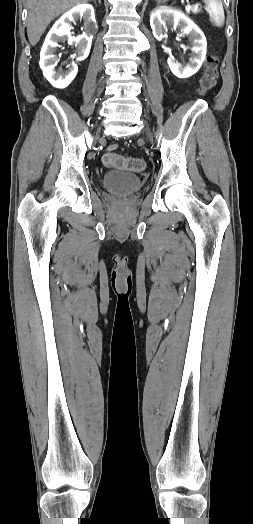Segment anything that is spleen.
<instances>
[{"instance_id": "3e777b00", "label": "spleen", "mask_w": 253, "mask_h": 524, "mask_svg": "<svg viewBox=\"0 0 253 524\" xmlns=\"http://www.w3.org/2000/svg\"><path fill=\"white\" fill-rule=\"evenodd\" d=\"M209 9L210 20L217 27L224 25V9L221 0H203Z\"/></svg>"}]
</instances>
